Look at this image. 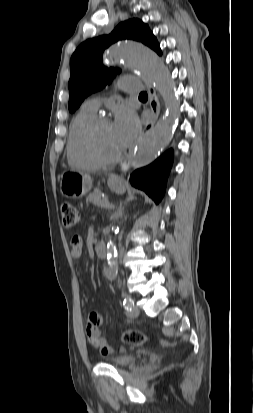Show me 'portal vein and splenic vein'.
<instances>
[{
	"label": "portal vein and splenic vein",
	"mask_w": 253,
	"mask_h": 413,
	"mask_svg": "<svg viewBox=\"0 0 253 413\" xmlns=\"http://www.w3.org/2000/svg\"><path fill=\"white\" fill-rule=\"evenodd\" d=\"M102 207H105L107 209L114 208V205L111 204L109 201H105L104 203L101 204Z\"/></svg>",
	"instance_id": "1"
}]
</instances>
